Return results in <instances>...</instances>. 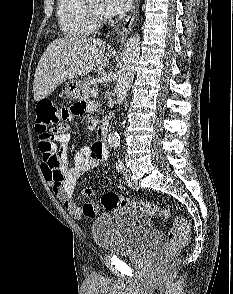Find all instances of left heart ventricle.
I'll list each match as a JSON object with an SVG mask.
<instances>
[{
	"label": "left heart ventricle",
	"instance_id": "left-heart-ventricle-1",
	"mask_svg": "<svg viewBox=\"0 0 233 294\" xmlns=\"http://www.w3.org/2000/svg\"><path fill=\"white\" fill-rule=\"evenodd\" d=\"M91 7L95 11L103 13V11L105 9V4L104 3H97V4H93Z\"/></svg>",
	"mask_w": 233,
	"mask_h": 294
}]
</instances>
